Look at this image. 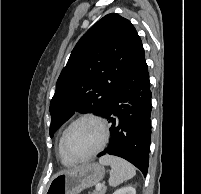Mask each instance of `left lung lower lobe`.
Masks as SVG:
<instances>
[{
  "mask_svg": "<svg viewBox=\"0 0 201 194\" xmlns=\"http://www.w3.org/2000/svg\"><path fill=\"white\" fill-rule=\"evenodd\" d=\"M151 91L143 47L114 92L102 116L111 123V141L98 156H119L146 176L151 143Z\"/></svg>",
  "mask_w": 201,
  "mask_h": 194,
  "instance_id": "0a47b994",
  "label": "left lung lower lobe"
}]
</instances>
